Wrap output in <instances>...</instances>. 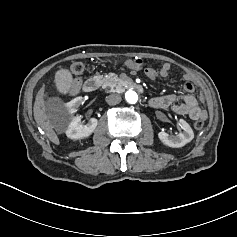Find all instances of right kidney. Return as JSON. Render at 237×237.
I'll return each mask as SVG.
<instances>
[{"mask_svg":"<svg viewBox=\"0 0 237 237\" xmlns=\"http://www.w3.org/2000/svg\"><path fill=\"white\" fill-rule=\"evenodd\" d=\"M82 104V98L77 97L68 104V112L70 116V123L67 125L65 134L67 138L72 140H79L88 138L97 127V120L90 118L89 121L84 124L80 117L75 116V112L78 111Z\"/></svg>","mask_w":237,"mask_h":237,"instance_id":"1","label":"right kidney"}]
</instances>
